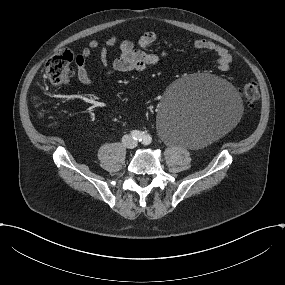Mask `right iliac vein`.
I'll return each instance as SVG.
<instances>
[{
  "mask_svg": "<svg viewBox=\"0 0 285 285\" xmlns=\"http://www.w3.org/2000/svg\"><path fill=\"white\" fill-rule=\"evenodd\" d=\"M130 140V137L129 136H124L123 138V142L125 143L126 141H129Z\"/></svg>",
  "mask_w": 285,
  "mask_h": 285,
  "instance_id": "obj_1",
  "label": "right iliac vein"
}]
</instances>
